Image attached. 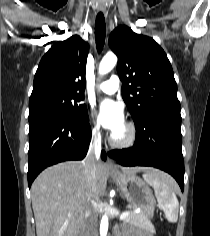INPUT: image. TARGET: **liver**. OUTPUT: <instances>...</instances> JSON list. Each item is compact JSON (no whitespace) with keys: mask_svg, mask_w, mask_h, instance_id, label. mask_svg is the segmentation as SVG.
<instances>
[{"mask_svg":"<svg viewBox=\"0 0 210 236\" xmlns=\"http://www.w3.org/2000/svg\"><path fill=\"white\" fill-rule=\"evenodd\" d=\"M121 170L127 175L147 171L167 176L148 167H122ZM108 174L107 166L98 161L96 200L105 193ZM89 192V172L81 162L59 163L40 173L31 187L37 236H76L84 221Z\"/></svg>","mask_w":210,"mask_h":236,"instance_id":"6515ba94","label":"liver"}]
</instances>
